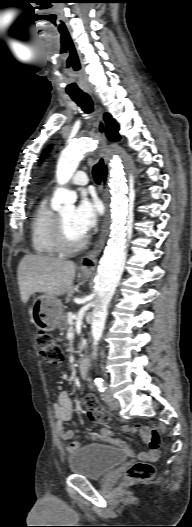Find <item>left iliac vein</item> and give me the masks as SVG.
<instances>
[{
    "label": "left iliac vein",
    "instance_id": "left-iliac-vein-1",
    "mask_svg": "<svg viewBox=\"0 0 192 527\" xmlns=\"http://www.w3.org/2000/svg\"><path fill=\"white\" fill-rule=\"evenodd\" d=\"M107 399H108L109 407L112 410H118L119 409L120 404H119V401L117 399L113 398L110 394L107 395Z\"/></svg>",
    "mask_w": 192,
    "mask_h": 527
}]
</instances>
